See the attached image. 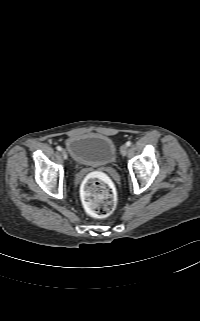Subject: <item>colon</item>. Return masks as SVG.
<instances>
[{"instance_id": "1", "label": "colon", "mask_w": 200, "mask_h": 321, "mask_svg": "<svg viewBox=\"0 0 200 321\" xmlns=\"http://www.w3.org/2000/svg\"><path fill=\"white\" fill-rule=\"evenodd\" d=\"M82 196L87 211L94 217H107L115 209L114 188L102 173H92L85 179L82 185Z\"/></svg>"}]
</instances>
